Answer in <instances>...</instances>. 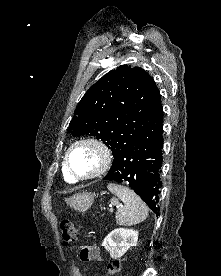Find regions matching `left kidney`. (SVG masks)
<instances>
[{"mask_svg": "<svg viewBox=\"0 0 221 276\" xmlns=\"http://www.w3.org/2000/svg\"><path fill=\"white\" fill-rule=\"evenodd\" d=\"M138 231L127 228H117L111 231L104 239L102 246L110 253L112 258H120L127 250L136 246Z\"/></svg>", "mask_w": 221, "mask_h": 276, "instance_id": "5707ae66", "label": "left kidney"}]
</instances>
